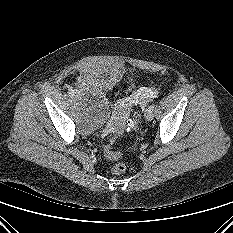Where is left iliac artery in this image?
I'll return each instance as SVG.
<instances>
[{
	"mask_svg": "<svg viewBox=\"0 0 233 233\" xmlns=\"http://www.w3.org/2000/svg\"><path fill=\"white\" fill-rule=\"evenodd\" d=\"M154 107H155L154 104H152V105L149 106L150 109H154Z\"/></svg>",
	"mask_w": 233,
	"mask_h": 233,
	"instance_id": "1",
	"label": "left iliac artery"
}]
</instances>
